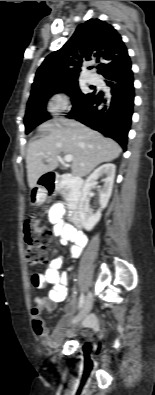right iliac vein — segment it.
Masks as SVG:
<instances>
[{
    "label": "right iliac vein",
    "mask_w": 155,
    "mask_h": 395,
    "mask_svg": "<svg viewBox=\"0 0 155 395\" xmlns=\"http://www.w3.org/2000/svg\"><path fill=\"white\" fill-rule=\"evenodd\" d=\"M92 305H93V295L91 292H89L87 294V297L84 301V304L82 306L81 311L79 312V314L74 318V320L72 321L73 323H77L79 322L81 319H83L92 309Z\"/></svg>",
    "instance_id": "1"
}]
</instances>
